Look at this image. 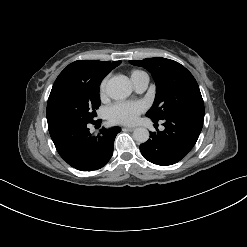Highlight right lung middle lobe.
<instances>
[{"mask_svg":"<svg viewBox=\"0 0 247 247\" xmlns=\"http://www.w3.org/2000/svg\"><path fill=\"white\" fill-rule=\"evenodd\" d=\"M100 82L61 80L55 82L47 103L49 133L73 124L94 122L100 106Z\"/></svg>","mask_w":247,"mask_h":247,"instance_id":"dd1d6c3e","label":"right lung middle lobe"}]
</instances>
